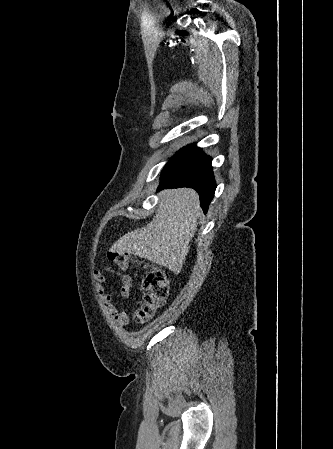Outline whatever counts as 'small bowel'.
I'll list each match as a JSON object with an SVG mask.
<instances>
[{
  "label": "small bowel",
  "mask_w": 333,
  "mask_h": 449,
  "mask_svg": "<svg viewBox=\"0 0 333 449\" xmlns=\"http://www.w3.org/2000/svg\"><path fill=\"white\" fill-rule=\"evenodd\" d=\"M108 272H111L115 274L121 281V287H120V296L123 299H127L130 296L131 289H132V278L123 272L115 271L110 268H106ZM94 279H95V287L97 290V293L99 295V298L102 302L103 307L105 310L109 313V315L115 320V322L120 326H125L128 321L129 317L126 312L124 311H118L116 307L113 305V297L111 293H107L103 287V283L106 280L105 274L101 271H95L94 272Z\"/></svg>",
  "instance_id": "small-bowel-1"
}]
</instances>
